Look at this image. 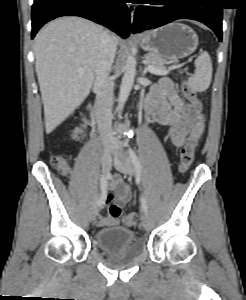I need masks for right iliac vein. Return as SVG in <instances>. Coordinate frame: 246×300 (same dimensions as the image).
I'll use <instances>...</instances> for the list:
<instances>
[{"mask_svg": "<svg viewBox=\"0 0 246 300\" xmlns=\"http://www.w3.org/2000/svg\"><path fill=\"white\" fill-rule=\"evenodd\" d=\"M112 159H113V153L110 152L103 153L101 158V168L104 174H107L110 171L112 165ZM97 213H98V207L97 204H95L90 212L91 221L95 219Z\"/></svg>", "mask_w": 246, "mask_h": 300, "instance_id": "63e3f726", "label": "right iliac vein"}]
</instances>
